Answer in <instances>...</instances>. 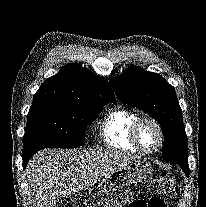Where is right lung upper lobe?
Wrapping results in <instances>:
<instances>
[{
  "instance_id": "1",
  "label": "right lung upper lobe",
  "mask_w": 206,
  "mask_h": 207,
  "mask_svg": "<svg viewBox=\"0 0 206 207\" xmlns=\"http://www.w3.org/2000/svg\"><path fill=\"white\" fill-rule=\"evenodd\" d=\"M43 101L79 105L116 103L107 80L78 65H66L58 74L44 81L34 95L33 103Z\"/></svg>"
}]
</instances>
